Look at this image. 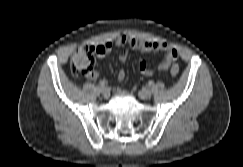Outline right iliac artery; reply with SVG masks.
Returning a JSON list of instances; mask_svg holds the SVG:
<instances>
[{"instance_id": "82829eb1", "label": "right iliac artery", "mask_w": 243, "mask_h": 167, "mask_svg": "<svg viewBox=\"0 0 243 167\" xmlns=\"http://www.w3.org/2000/svg\"><path fill=\"white\" fill-rule=\"evenodd\" d=\"M106 84H107V82L105 80H101L99 82L100 87H105Z\"/></svg>"}]
</instances>
